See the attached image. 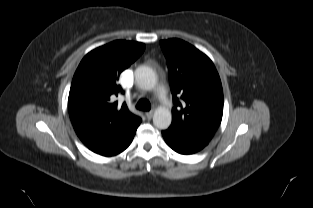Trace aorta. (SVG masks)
Masks as SVG:
<instances>
[{
  "instance_id": "aorta-1",
  "label": "aorta",
  "mask_w": 313,
  "mask_h": 208,
  "mask_svg": "<svg viewBox=\"0 0 313 208\" xmlns=\"http://www.w3.org/2000/svg\"><path fill=\"white\" fill-rule=\"evenodd\" d=\"M135 80L138 86L145 90H152L157 83L155 71L148 66H140L135 71ZM172 122V115L168 108L159 107L155 110L153 124L158 129H167Z\"/></svg>"
}]
</instances>
